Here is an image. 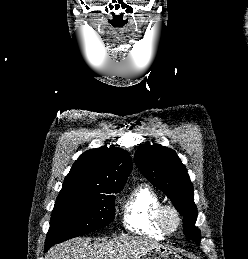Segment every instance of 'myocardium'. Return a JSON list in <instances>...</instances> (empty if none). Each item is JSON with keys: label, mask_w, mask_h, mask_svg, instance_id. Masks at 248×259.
I'll list each match as a JSON object with an SVG mask.
<instances>
[{"label": "myocardium", "mask_w": 248, "mask_h": 259, "mask_svg": "<svg viewBox=\"0 0 248 259\" xmlns=\"http://www.w3.org/2000/svg\"><path fill=\"white\" fill-rule=\"evenodd\" d=\"M169 215H172L175 218V224L173 226L169 224ZM158 222L166 234H173L180 229L182 217L179 210L175 206L163 204L158 212Z\"/></svg>", "instance_id": "1"}]
</instances>
